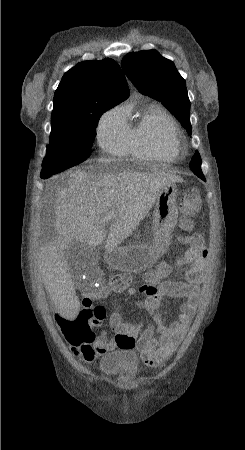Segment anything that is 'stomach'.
Here are the masks:
<instances>
[{
    "mask_svg": "<svg viewBox=\"0 0 245 450\" xmlns=\"http://www.w3.org/2000/svg\"><path fill=\"white\" fill-rule=\"evenodd\" d=\"M177 197L176 183L165 185L155 201L152 242L107 249V263L117 270L134 273L151 268L168 249L178 218Z\"/></svg>",
    "mask_w": 245,
    "mask_h": 450,
    "instance_id": "obj_1",
    "label": "stomach"
}]
</instances>
